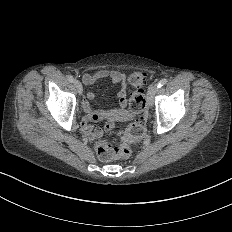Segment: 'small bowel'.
I'll return each mask as SVG.
<instances>
[{"instance_id":"c3829d8e","label":"small bowel","mask_w":232,"mask_h":232,"mask_svg":"<svg viewBox=\"0 0 232 232\" xmlns=\"http://www.w3.org/2000/svg\"><path fill=\"white\" fill-rule=\"evenodd\" d=\"M110 79L118 86V96L120 107L113 110H97L91 102L94 93L84 90V86L93 84L96 81ZM81 89L78 94V103L81 110V117L76 127L77 136L83 142H95L102 138L104 133L114 128L116 121L127 120L131 116L128 104V81L125 74L117 69H100L94 75L82 73L79 76Z\"/></svg>"}]
</instances>
